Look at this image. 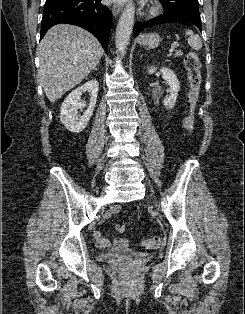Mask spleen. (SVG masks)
<instances>
[{
	"mask_svg": "<svg viewBox=\"0 0 245 314\" xmlns=\"http://www.w3.org/2000/svg\"><path fill=\"white\" fill-rule=\"evenodd\" d=\"M185 35L188 37V44L190 47L196 51H199L202 49V41L199 35L194 34L192 30H186Z\"/></svg>",
	"mask_w": 245,
	"mask_h": 314,
	"instance_id": "1",
	"label": "spleen"
}]
</instances>
